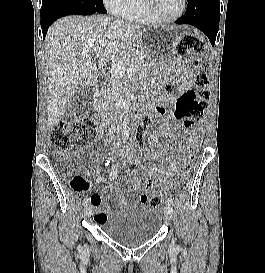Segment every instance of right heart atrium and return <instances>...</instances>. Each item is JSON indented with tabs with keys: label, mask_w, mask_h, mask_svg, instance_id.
Segmentation results:
<instances>
[{
	"label": "right heart atrium",
	"mask_w": 265,
	"mask_h": 273,
	"mask_svg": "<svg viewBox=\"0 0 265 273\" xmlns=\"http://www.w3.org/2000/svg\"><path fill=\"white\" fill-rule=\"evenodd\" d=\"M132 2L133 0H103L104 6L116 15H122Z\"/></svg>",
	"instance_id": "right-heart-atrium-1"
}]
</instances>
